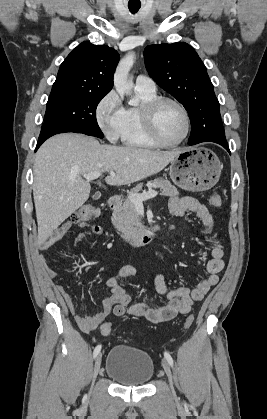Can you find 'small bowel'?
Wrapping results in <instances>:
<instances>
[{
  "label": "small bowel",
  "mask_w": 267,
  "mask_h": 419,
  "mask_svg": "<svg viewBox=\"0 0 267 419\" xmlns=\"http://www.w3.org/2000/svg\"><path fill=\"white\" fill-rule=\"evenodd\" d=\"M169 212L175 217H182L190 212L194 213L201 221L202 232L213 240L211 259L206 265L207 276L192 289L184 286L169 289L165 275L158 274L154 280L155 289L160 295L166 296L168 302L161 308L153 309L146 302H131V297L124 292L121 282L134 276L136 269L131 265L122 266L106 281V285L110 289V295L103 300L100 312L90 317L82 316L77 312L71 295L63 285H55V289L65 301L78 326L84 332H91L97 329L111 313L116 316L126 315L135 318H145L152 323L169 321L178 315L189 313L193 303L202 300L206 293L219 282L220 273L225 266L224 246L214 230L213 218L208 208L193 197H173L169 201ZM75 224L71 221L61 224L41 244L40 249L47 250L59 242ZM79 226L83 227V229L75 237V246L87 237L104 234V229L100 225L81 223ZM41 263L47 275L54 278L56 272L46 264L43 257L41 258Z\"/></svg>",
  "instance_id": "1"
}]
</instances>
